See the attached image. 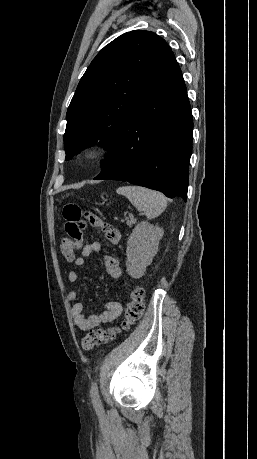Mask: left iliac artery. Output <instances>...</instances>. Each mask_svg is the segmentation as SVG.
<instances>
[{
  "instance_id": "obj_1",
  "label": "left iliac artery",
  "mask_w": 257,
  "mask_h": 459,
  "mask_svg": "<svg viewBox=\"0 0 257 459\" xmlns=\"http://www.w3.org/2000/svg\"><path fill=\"white\" fill-rule=\"evenodd\" d=\"M90 393L95 409L100 412L102 410V403L100 400L98 385L96 381L92 383Z\"/></svg>"
}]
</instances>
